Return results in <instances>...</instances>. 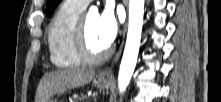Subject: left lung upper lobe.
Wrapping results in <instances>:
<instances>
[{
	"label": "left lung upper lobe",
	"mask_w": 221,
	"mask_h": 102,
	"mask_svg": "<svg viewBox=\"0 0 221 102\" xmlns=\"http://www.w3.org/2000/svg\"><path fill=\"white\" fill-rule=\"evenodd\" d=\"M61 0H48L46 14L50 16Z\"/></svg>",
	"instance_id": "left-lung-upper-lobe-1"
}]
</instances>
